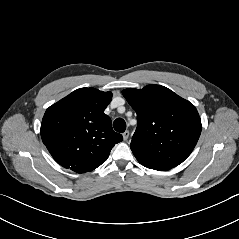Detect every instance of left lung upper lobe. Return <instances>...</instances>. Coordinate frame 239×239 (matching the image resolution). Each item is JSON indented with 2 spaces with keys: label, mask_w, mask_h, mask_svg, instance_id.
Listing matches in <instances>:
<instances>
[{
  "label": "left lung upper lobe",
  "mask_w": 239,
  "mask_h": 239,
  "mask_svg": "<svg viewBox=\"0 0 239 239\" xmlns=\"http://www.w3.org/2000/svg\"><path fill=\"white\" fill-rule=\"evenodd\" d=\"M122 94L137 114L130 148L139 163L159 171L181 164L193 151L202 129L195 106L161 85L129 88Z\"/></svg>",
  "instance_id": "left-lung-upper-lobe-1"
}]
</instances>
